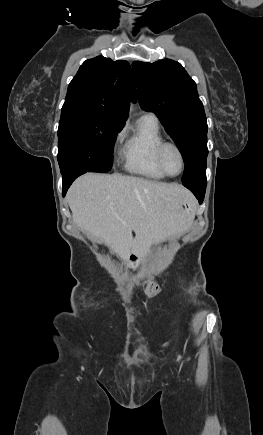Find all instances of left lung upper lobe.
I'll return each mask as SVG.
<instances>
[{"label": "left lung upper lobe", "mask_w": 263, "mask_h": 435, "mask_svg": "<svg viewBox=\"0 0 263 435\" xmlns=\"http://www.w3.org/2000/svg\"><path fill=\"white\" fill-rule=\"evenodd\" d=\"M132 68L141 107L156 113L183 156L182 182L205 175L208 126L196 83L170 59L134 61Z\"/></svg>", "instance_id": "obj_1"}]
</instances>
